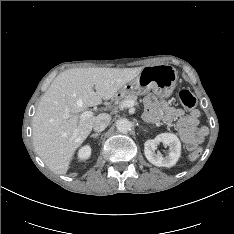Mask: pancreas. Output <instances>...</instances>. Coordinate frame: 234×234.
<instances>
[{
    "instance_id": "pancreas-1",
    "label": "pancreas",
    "mask_w": 234,
    "mask_h": 234,
    "mask_svg": "<svg viewBox=\"0 0 234 234\" xmlns=\"http://www.w3.org/2000/svg\"><path fill=\"white\" fill-rule=\"evenodd\" d=\"M137 95H134V94H130V95H126V96H123L122 97V101L119 102V104L123 101H126V100H133V101H136L137 100Z\"/></svg>"
}]
</instances>
